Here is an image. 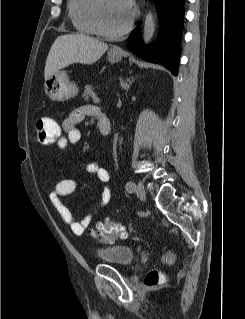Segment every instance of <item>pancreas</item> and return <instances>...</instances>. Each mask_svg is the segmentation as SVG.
<instances>
[{
    "label": "pancreas",
    "mask_w": 245,
    "mask_h": 319,
    "mask_svg": "<svg viewBox=\"0 0 245 319\" xmlns=\"http://www.w3.org/2000/svg\"><path fill=\"white\" fill-rule=\"evenodd\" d=\"M94 96H95L94 86L86 85L84 92L82 94V97L84 98V100H88L90 97H94Z\"/></svg>",
    "instance_id": "obj_1"
}]
</instances>
